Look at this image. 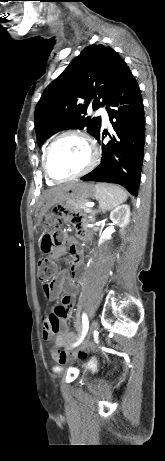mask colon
Listing matches in <instances>:
<instances>
[{"mask_svg":"<svg viewBox=\"0 0 165 461\" xmlns=\"http://www.w3.org/2000/svg\"><path fill=\"white\" fill-rule=\"evenodd\" d=\"M59 217H52L49 215L45 219V232L41 237L40 247L43 253H50L53 249L62 245L65 237L62 232L57 229ZM56 274V267L54 263L48 258H41L38 261V277L42 281H48ZM73 346L72 340H55V347L58 348L59 354H64L67 348ZM78 358L86 360L89 357V350L87 348H80L77 350Z\"/></svg>","mask_w":165,"mask_h":461,"instance_id":"obj_1","label":"colon"}]
</instances>
